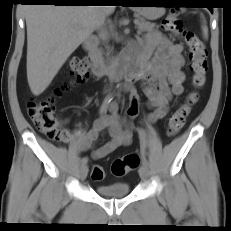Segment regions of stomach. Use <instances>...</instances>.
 Masks as SVG:
<instances>
[{"label":"stomach","instance_id":"obj_1","mask_svg":"<svg viewBox=\"0 0 231 231\" xmlns=\"http://www.w3.org/2000/svg\"><path fill=\"white\" fill-rule=\"evenodd\" d=\"M135 10L146 19H156L164 13L163 7H135Z\"/></svg>","mask_w":231,"mask_h":231}]
</instances>
